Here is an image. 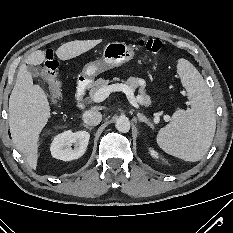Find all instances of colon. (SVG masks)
Returning <instances> with one entry per match:
<instances>
[{
    "mask_svg": "<svg viewBox=\"0 0 233 233\" xmlns=\"http://www.w3.org/2000/svg\"><path fill=\"white\" fill-rule=\"evenodd\" d=\"M138 46L150 53H159L163 43L158 39H140ZM42 78L48 88L49 96L53 104L57 103L60 96V81L57 77V62L51 51L45 54V61L41 67Z\"/></svg>",
    "mask_w": 233,
    "mask_h": 233,
    "instance_id": "1",
    "label": "colon"
}]
</instances>
